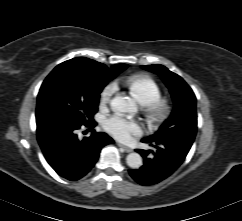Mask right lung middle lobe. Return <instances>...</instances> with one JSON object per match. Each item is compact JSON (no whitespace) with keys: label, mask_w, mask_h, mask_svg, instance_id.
<instances>
[{"label":"right lung middle lobe","mask_w":242,"mask_h":221,"mask_svg":"<svg viewBox=\"0 0 242 221\" xmlns=\"http://www.w3.org/2000/svg\"><path fill=\"white\" fill-rule=\"evenodd\" d=\"M126 64L119 69L124 70ZM116 75L104 68L75 70L57 66L44 80L38 97L36 122L62 120L84 124L93 120L104 86Z\"/></svg>","instance_id":"dd1d6c3e"}]
</instances>
